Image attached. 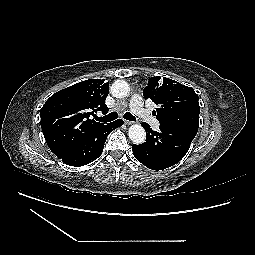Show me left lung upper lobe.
Masks as SVG:
<instances>
[{"label":"left lung upper lobe","instance_id":"5c2ea615","mask_svg":"<svg viewBox=\"0 0 255 255\" xmlns=\"http://www.w3.org/2000/svg\"><path fill=\"white\" fill-rule=\"evenodd\" d=\"M143 96L157 105L153 113L160 123L198 129L200 107L193 88L156 76L149 80Z\"/></svg>","mask_w":255,"mask_h":255}]
</instances>
